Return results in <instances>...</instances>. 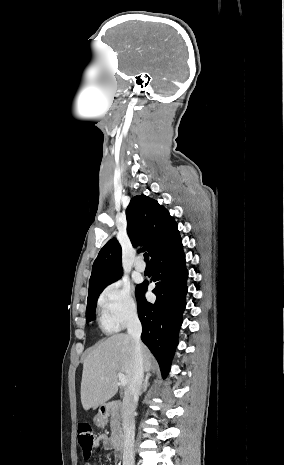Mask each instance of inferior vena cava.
I'll list each match as a JSON object with an SVG mask.
<instances>
[{"label":"inferior vena cava","mask_w":284,"mask_h":465,"mask_svg":"<svg viewBox=\"0 0 284 465\" xmlns=\"http://www.w3.org/2000/svg\"><path fill=\"white\" fill-rule=\"evenodd\" d=\"M127 333L134 341L133 347V377L132 381L127 387L122 403V421L124 433V447H123V465H134L133 449L135 437V421L134 411L138 403L139 395L142 389L144 367H143V353L140 335L142 333L141 323L137 315H131L128 325Z\"/></svg>","instance_id":"602c4592"}]
</instances>
